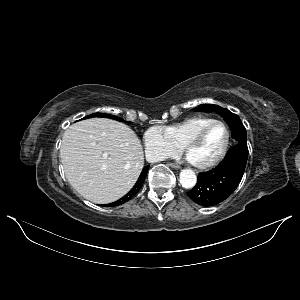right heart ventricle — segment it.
Masks as SVG:
<instances>
[{"label": "right heart ventricle", "instance_id": "right-heart-ventricle-1", "mask_svg": "<svg viewBox=\"0 0 300 300\" xmlns=\"http://www.w3.org/2000/svg\"><path fill=\"white\" fill-rule=\"evenodd\" d=\"M213 120V118L206 116H193L179 122L162 126L161 128L164 130L169 140L175 146L181 148L195 132Z\"/></svg>", "mask_w": 300, "mask_h": 300}]
</instances>
